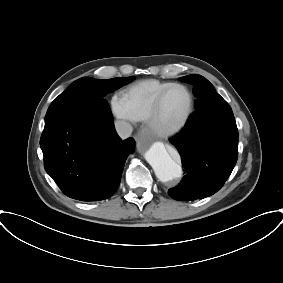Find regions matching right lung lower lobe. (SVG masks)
Masks as SVG:
<instances>
[{
	"label": "right lung lower lobe",
	"instance_id": "98d812e1",
	"mask_svg": "<svg viewBox=\"0 0 283 283\" xmlns=\"http://www.w3.org/2000/svg\"><path fill=\"white\" fill-rule=\"evenodd\" d=\"M40 146L46 172L65 195L100 201L119 187L134 139L122 141L114 130L111 111L100 108L47 119Z\"/></svg>",
	"mask_w": 283,
	"mask_h": 283
}]
</instances>
